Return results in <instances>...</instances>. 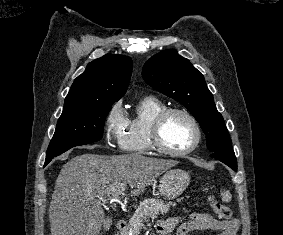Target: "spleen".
Returning <instances> with one entry per match:
<instances>
[{
    "label": "spleen",
    "mask_w": 283,
    "mask_h": 235,
    "mask_svg": "<svg viewBox=\"0 0 283 235\" xmlns=\"http://www.w3.org/2000/svg\"><path fill=\"white\" fill-rule=\"evenodd\" d=\"M231 198H232V195H231L230 191L224 190L221 193V199H222L223 202H230Z\"/></svg>",
    "instance_id": "1"
}]
</instances>
